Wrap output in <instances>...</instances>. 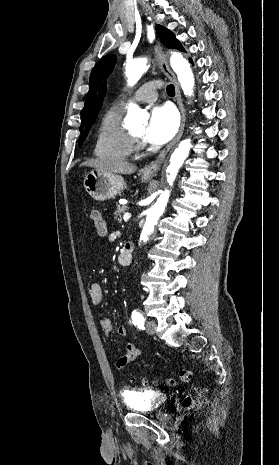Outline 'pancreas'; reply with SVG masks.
Returning <instances> with one entry per match:
<instances>
[{
    "instance_id": "1",
    "label": "pancreas",
    "mask_w": 279,
    "mask_h": 465,
    "mask_svg": "<svg viewBox=\"0 0 279 465\" xmlns=\"http://www.w3.org/2000/svg\"><path fill=\"white\" fill-rule=\"evenodd\" d=\"M128 210V206L126 205H120V204H117V209L115 211V218L119 221V222H122V217H121V214L124 213L125 211Z\"/></svg>"
}]
</instances>
